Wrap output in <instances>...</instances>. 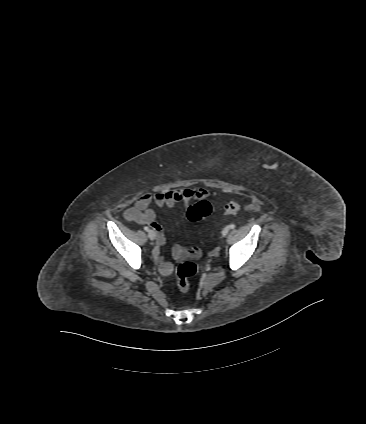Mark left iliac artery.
Listing matches in <instances>:
<instances>
[{"mask_svg":"<svg viewBox=\"0 0 366 424\" xmlns=\"http://www.w3.org/2000/svg\"><path fill=\"white\" fill-rule=\"evenodd\" d=\"M229 228H230V229H234V228H235V224H230V225H229Z\"/></svg>","mask_w":366,"mask_h":424,"instance_id":"44dca946","label":"left iliac artery"}]
</instances>
